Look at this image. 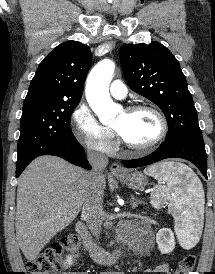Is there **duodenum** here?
<instances>
[{
  "instance_id": "duodenum-1",
  "label": "duodenum",
  "mask_w": 215,
  "mask_h": 274,
  "mask_svg": "<svg viewBox=\"0 0 215 274\" xmlns=\"http://www.w3.org/2000/svg\"><path fill=\"white\" fill-rule=\"evenodd\" d=\"M76 230L84 249L89 252L90 256L95 261L106 265H112L121 260L122 252L119 249L109 251L97 244L90 236L83 222L77 223Z\"/></svg>"
}]
</instances>
